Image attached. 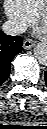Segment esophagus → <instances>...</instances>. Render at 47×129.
I'll return each instance as SVG.
<instances>
[{
  "mask_svg": "<svg viewBox=\"0 0 47 129\" xmlns=\"http://www.w3.org/2000/svg\"><path fill=\"white\" fill-rule=\"evenodd\" d=\"M35 45V42L32 39H25L23 43V47L26 50L31 49Z\"/></svg>",
  "mask_w": 47,
  "mask_h": 129,
  "instance_id": "1",
  "label": "esophagus"
}]
</instances>
